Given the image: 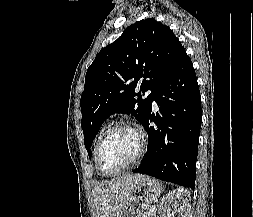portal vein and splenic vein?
<instances>
[{
  "label": "portal vein and splenic vein",
  "instance_id": "18ae733b",
  "mask_svg": "<svg viewBox=\"0 0 253 217\" xmlns=\"http://www.w3.org/2000/svg\"><path fill=\"white\" fill-rule=\"evenodd\" d=\"M151 211H156L155 207L150 208Z\"/></svg>",
  "mask_w": 253,
  "mask_h": 217
}]
</instances>
